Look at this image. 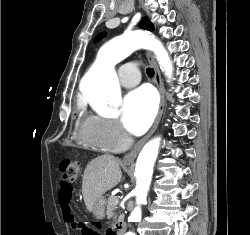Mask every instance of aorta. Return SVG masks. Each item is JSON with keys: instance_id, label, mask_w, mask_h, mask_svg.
Returning a JSON list of instances; mask_svg holds the SVG:
<instances>
[{"instance_id": "1", "label": "aorta", "mask_w": 250, "mask_h": 235, "mask_svg": "<svg viewBox=\"0 0 250 235\" xmlns=\"http://www.w3.org/2000/svg\"><path fill=\"white\" fill-rule=\"evenodd\" d=\"M139 48L152 50L167 77H171L173 66L162 43L147 32L134 31L123 38L107 42L99 51L97 61L85 77L83 93L92 105H115L120 101V85L114 65L125 58L131 51ZM160 138H154L142 148L136 163L135 187L137 206L129 216V222H140L141 204L146 201L150 187L153 167L158 156ZM125 235H135L128 231Z\"/></svg>"}]
</instances>
